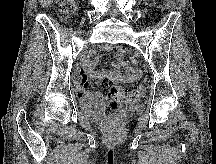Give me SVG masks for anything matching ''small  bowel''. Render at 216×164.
Segmentation results:
<instances>
[{
    "label": "small bowel",
    "instance_id": "c3829d8e",
    "mask_svg": "<svg viewBox=\"0 0 216 164\" xmlns=\"http://www.w3.org/2000/svg\"><path fill=\"white\" fill-rule=\"evenodd\" d=\"M118 63L114 65L112 71L94 69L95 59L86 60L83 66L76 71L74 79L76 83L78 96L84 108L95 116H101L105 113H111L117 108L114 101L105 103L103 96L99 92H94L88 89V79L94 82H101L103 79H108L112 83L129 82L134 80L139 72L128 61L123 59L124 50L122 47H117ZM125 70L122 74L120 68Z\"/></svg>",
    "mask_w": 216,
    "mask_h": 164
}]
</instances>
